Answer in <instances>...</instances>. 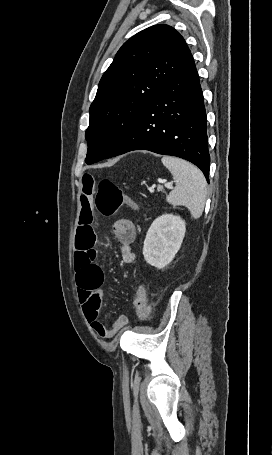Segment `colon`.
<instances>
[{
    "instance_id": "colon-1",
    "label": "colon",
    "mask_w": 272,
    "mask_h": 455,
    "mask_svg": "<svg viewBox=\"0 0 272 455\" xmlns=\"http://www.w3.org/2000/svg\"><path fill=\"white\" fill-rule=\"evenodd\" d=\"M95 205L97 210L106 217L113 216L118 209L126 205L135 208L133 201L124 195L122 190L111 180L104 178L98 182ZM136 314L140 319L149 316L151 307L148 302L147 288L141 283L135 297Z\"/></svg>"
}]
</instances>
